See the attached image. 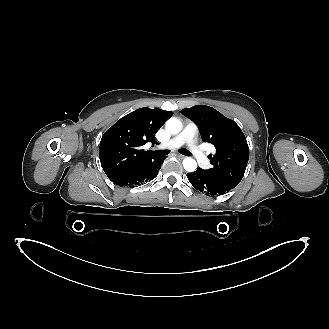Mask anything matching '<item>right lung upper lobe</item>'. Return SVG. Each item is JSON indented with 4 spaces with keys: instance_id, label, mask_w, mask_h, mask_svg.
<instances>
[{
    "instance_id": "obj_1",
    "label": "right lung upper lobe",
    "mask_w": 329,
    "mask_h": 329,
    "mask_svg": "<svg viewBox=\"0 0 329 329\" xmlns=\"http://www.w3.org/2000/svg\"><path fill=\"white\" fill-rule=\"evenodd\" d=\"M171 115V111L140 108L119 119L104 133L100 162L111 181L132 175L158 158L147 155L142 146L156 142L155 134Z\"/></svg>"
}]
</instances>
